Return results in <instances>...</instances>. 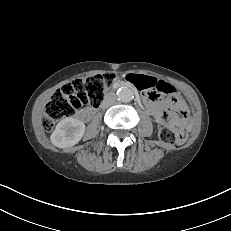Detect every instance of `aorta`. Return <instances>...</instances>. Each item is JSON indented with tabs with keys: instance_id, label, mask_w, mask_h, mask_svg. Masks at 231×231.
<instances>
[{
	"instance_id": "aorta-1",
	"label": "aorta",
	"mask_w": 231,
	"mask_h": 231,
	"mask_svg": "<svg viewBox=\"0 0 231 231\" xmlns=\"http://www.w3.org/2000/svg\"><path fill=\"white\" fill-rule=\"evenodd\" d=\"M117 98L122 102H130L134 98V93L131 89L123 87L118 90Z\"/></svg>"
}]
</instances>
